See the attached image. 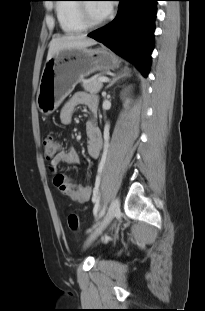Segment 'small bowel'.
Instances as JSON below:
<instances>
[{
	"label": "small bowel",
	"mask_w": 205,
	"mask_h": 311,
	"mask_svg": "<svg viewBox=\"0 0 205 311\" xmlns=\"http://www.w3.org/2000/svg\"><path fill=\"white\" fill-rule=\"evenodd\" d=\"M85 105L95 114L98 110V101L92 94L77 92L68 100L61 109L60 121L62 124H71L76 108ZM87 153L91 158H97L102 147L101 132L96 122L91 119L86 125ZM78 162V155L73 147L59 152L49 164V171L53 177L54 187L71 201L84 203L91 197L92 187L89 184H76L67 175L58 173L57 169L62 164L73 165Z\"/></svg>",
	"instance_id": "obj_1"
}]
</instances>
